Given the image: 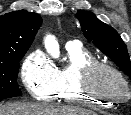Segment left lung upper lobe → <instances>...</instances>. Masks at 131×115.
<instances>
[{"label":"left lung upper lobe","instance_id":"5c2ea615","mask_svg":"<svg viewBox=\"0 0 131 115\" xmlns=\"http://www.w3.org/2000/svg\"><path fill=\"white\" fill-rule=\"evenodd\" d=\"M76 17L84 36L131 78V62L127 48L116 30L98 20L89 11L78 10Z\"/></svg>","mask_w":131,"mask_h":115}]
</instances>
